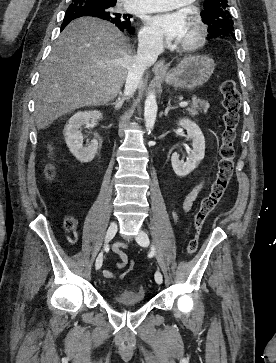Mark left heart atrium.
<instances>
[{"label":"left heart atrium","instance_id":"1","mask_svg":"<svg viewBox=\"0 0 276 363\" xmlns=\"http://www.w3.org/2000/svg\"><path fill=\"white\" fill-rule=\"evenodd\" d=\"M188 23V15L182 10L162 12L148 18L150 29L167 41H181L187 31Z\"/></svg>","mask_w":276,"mask_h":363}]
</instances>
